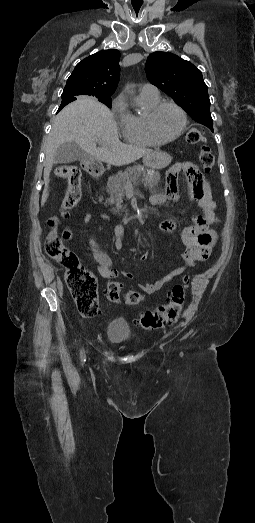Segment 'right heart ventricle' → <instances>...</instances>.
<instances>
[{"mask_svg":"<svg viewBox=\"0 0 255 523\" xmlns=\"http://www.w3.org/2000/svg\"><path fill=\"white\" fill-rule=\"evenodd\" d=\"M139 101L145 113H139L124 108L118 116V124L122 138L130 145L151 146L156 144L145 127V117L148 110L160 101L159 95L140 92Z\"/></svg>","mask_w":255,"mask_h":523,"instance_id":"obj_1","label":"right heart ventricle"}]
</instances>
